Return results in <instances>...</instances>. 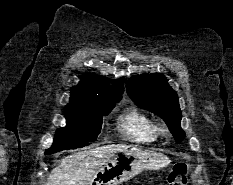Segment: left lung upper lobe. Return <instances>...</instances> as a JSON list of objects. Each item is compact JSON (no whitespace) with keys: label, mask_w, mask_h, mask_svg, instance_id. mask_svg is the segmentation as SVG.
I'll return each mask as SVG.
<instances>
[{"label":"left lung upper lobe","mask_w":233,"mask_h":185,"mask_svg":"<svg viewBox=\"0 0 233 185\" xmlns=\"http://www.w3.org/2000/svg\"><path fill=\"white\" fill-rule=\"evenodd\" d=\"M130 98L140 107L160 116L167 124L176 142H181L185 134L180 127L182 112L178 96L161 74L136 76L127 83Z\"/></svg>","instance_id":"left-lung-upper-lobe-1"}]
</instances>
